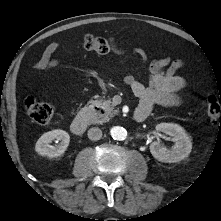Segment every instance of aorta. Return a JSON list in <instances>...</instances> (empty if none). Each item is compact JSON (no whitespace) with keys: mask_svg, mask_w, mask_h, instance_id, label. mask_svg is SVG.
Wrapping results in <instances>:
<instances>
[{"mask_svg":"<svg viewBox=\"0 0 221 221\" xmlns=\"http://www.w3.org/2000/svg\"><path fill=\"white\" fill-rule=\"evenodd\" d=\"M110 134L113 139L119 140V141L125 140L127 137V131L123 127H120V126H115L111 128Z\"/></svg>","mask_w":221,"mask_h":221,"instance_id":"1","label":"aorta"}]
</instances>
